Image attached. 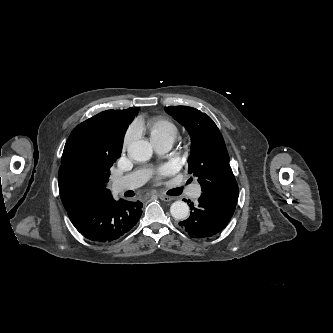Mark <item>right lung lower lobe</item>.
I'll return each instance as SVG.
<instances>
[{
    "instance_id": "1",
    "label": "right lung lower lobe",
    "mask_w": 333,
    "mask_h": 333,
    "mask_svg": "<svg viewBox=\"0 0 333 333\" xmlns=\"http://www.w3.org/2000/svg\"><path fill=\"white\" fill-rule=\"evenodd\" d=\"M143 204L112 198L90 206L68 211L75 228L87 239L108 243L114 241L136 225L142 214Z\"/></svg>"
}]
</instances>
